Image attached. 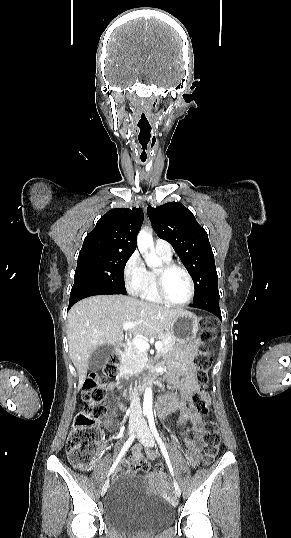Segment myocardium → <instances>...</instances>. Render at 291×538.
Returning a JSON list of instances; mask_svg holds the SVG:
<instances>
[{
	"label": "myocardium",
	"instance_id": "myocardium-1",
	"mask_svg": "<svg viewBox=\"0 0 291 538\" xmlns=\"http://www.w3.org/2000/svg\"><path fill=\"white\" fill-rule=\"evenodd\" d=\"M173 270H179V271L183 272L184 275L186 276L187 280H188V283H189V294H188L187 298L185 300L181 301V302H175V301H172L171 299H169L167 294H166V291H165V285H164L165 277L169 272H171ZM154 278H155L156 292H157L158 296L160 297V299L164 303L169 304L171 306H179L180 307V306H185V305L189 304L192 301V299L194 297V293H195L194 281H193V278H192L190 272L185 267H183L182 265L175 264V263H172V262L163 263L158 269L155 270Z\"/></svg>",
	"mask_w": 291,
	"mask_h": 538
}]
</instances>
